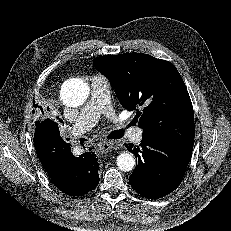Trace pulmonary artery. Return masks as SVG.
Segmentation results:
<instances>
[{
	"mask_svg": "<svg viewBox=\"0 0 231 231\" xmlns=\"http://www.w3.org/2000/svg\"><path fill=\"white\" fill-rule=\"evenodd\" d=\"M90 88V100L72 126L74 135H81L90 130L102 114L116 118L110 105L109 80L104 76L94 75L90 78ZM124 134L135 143H139L143 139V131L140 128H128Z\"/></svg>",
	"mask_w": 231,
	"mask_h": 231,
	"instance_id": "1",
	"label": "pulmonary artery"
}]
</instances>
